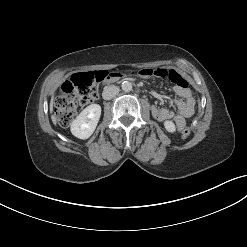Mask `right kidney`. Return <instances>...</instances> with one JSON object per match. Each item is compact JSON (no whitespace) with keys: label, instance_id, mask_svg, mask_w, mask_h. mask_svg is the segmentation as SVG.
Masks as SVG:
<instances>
[{"label":"right kidney","instance_id":"right-kidney-1","mask_svg":"<svg viewBox=\"0 0 247 247\" xmlns=\"http://www.w3.org/2000/svg\"><path fill=\"white\" fill-rule=\"evenodd\" d=\"M101 115V106L91 104L71 123V133L79 139L89 138L96 129Z\"/></svg>","mask_w":247,"mask_h":247}]
</instances>
